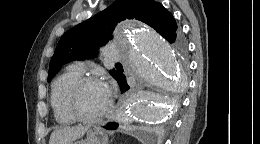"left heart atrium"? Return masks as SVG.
Segmentation results:
<instances>
[{"instance_id":"1","label":"left heart atrium","mask_w":260,"mask_h":144,"mask_svg":"<svg viewBox=\"0 0 260 144\" xmlns=\"http://www.w3.org/2000/svg\"><path fill=\"white\" fill-rule=\"evenodd\" d=\"M102 85H103V88H104V91H105L107 97L109 98L110 89H109L108 85L107 84H102Z\"/></svg>"}]
</instances>
